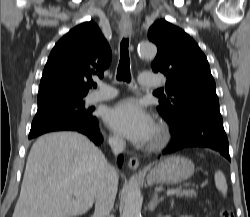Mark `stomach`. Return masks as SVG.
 I'll return each instance as SVG.
<instances>
[{
	"mask_svg": "<svg viewBox=\"0 0 250 217\" xmlns=\"http://www.w3.org/2000/svg\"><path fill=\"white\" fill-rule=\"evenodd\" d=\"M194 164L191 160L171 156L157 164L149 172L147 180L153 184H178L194 174Z\"/></svg>",
	"mask_w": 250,
	"mask_h": 217,
	"instance_id": "obj_1",
	"label": "stomach"
}]
</instances>
